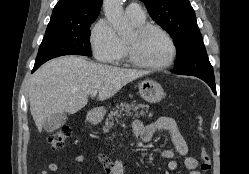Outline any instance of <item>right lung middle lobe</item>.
I'll use <instances>...</instances> for the list:
<instances>
[{"label":"right lung middle lobe","instance_id":"right-lung-middle-lobe-1","mask_svg":"<svg viewBox=\"0 0 249 174\" xmlns=\"http://www.w3.org/2000/svg\"><path fill=\"white\" fill-rule=\"evenodd\" d=\"M94 20L69 28H59L46 31L39 47L35 65L63 55L92 56L90 47L89 27Z\"/></svg>","mask_w":249,"mask_h":174}]
</instances>
